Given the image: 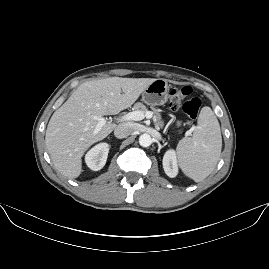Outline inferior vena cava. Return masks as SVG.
Returning <instances> with one entry per match:
<instances>
[{
  "instance_id": "602c4592",
  "label": "inferior vena cava",
  "mask_w": 269,
  "mask_h": 269,
  "mask_svg": "<svg viewBox=\"0 0 269 269\" xmlns=\"http://www.w3.org/2000/svg\"><path fill=\"white\" fill-rule=\"evenodd\" d=\"M136 131V128L131 122L120 123L114 130V135L119 138H126L129 135L133 134Z\"/></svg>"
}]
</instances>
